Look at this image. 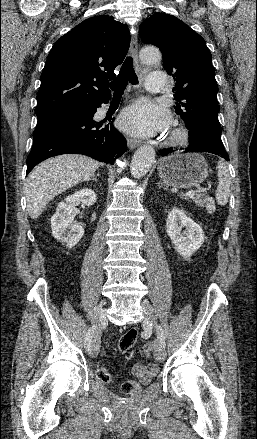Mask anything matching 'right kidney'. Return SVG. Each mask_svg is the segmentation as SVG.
Wrapping results in <instances>:
<instances>
[{"mask_svg": "<svg viewBox=\"0 0 257 439\" xmlns=\"http://www.w3.org/2000/svg\"><path fill=\"white\" fill-rule=\"evenodd\" d=\"M96 194L92 189L84 188L68 196L60 202L55 214L51 217L52 235L67 247H74L84 235V229L78 223L73 224L71 218L75 206L82 202L84 206H92L96 202Z\"/></svg>", "mask_w": 257, "mask_h": 439, "instance_id": "1", "label": "right kidney"}]
</instances>
